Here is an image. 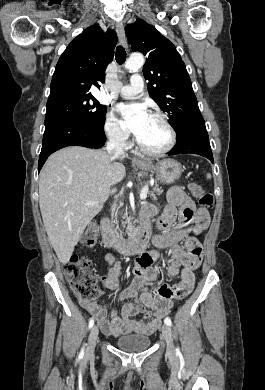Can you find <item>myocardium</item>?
<instances>
[{
  "instance_id": "f54148a6",
  "label": "myocardium",
  "mask_w": 265,
  "mask_h": 390,
  "mask_svg": "<svg viewBox=\"0 0 265 390\" xmlns=\"http://www.w3.org/2000/svg\"><path fill=\"white\" fill-rule=\"evenodd\" d=\"M150 116L158 119L164 125V127L167 129L168 134H169V141L165 147H163L162 149H159V150H151V149L146 148L139 141L138 137H136V144H137L138 149L146 155L163 156V155L169 153L174 148L176 141H177V134H176L174 127L172 126V124L170 123V121L167 119V117L164 114H162L160 112H152L150 114Z\"/></svg>"
}]
</instances>
